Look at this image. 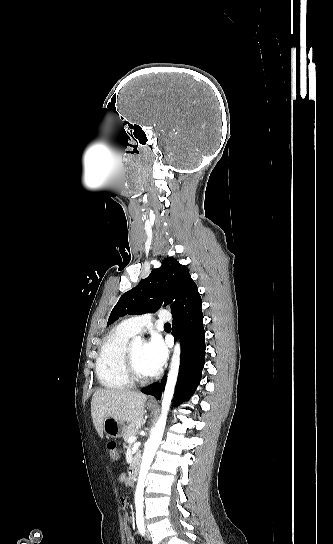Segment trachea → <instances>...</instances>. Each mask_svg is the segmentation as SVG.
<instances>
[{
	"label": "trachea",
	"mask_w": 333,
	"mask_h": 544,
	"mask_svg": "<svg viewBox=\"0 0 333 544\" xmlns=\"http://www.w3.org/2000/svg\"><path fill=\"white\" fill-rule=\"evenodd\" d=\"M164 326H167V327H168V326H170V324H169V323H165Z\"/></svg>",
	"instance_id": "trachea-1"
}]
</instances>
